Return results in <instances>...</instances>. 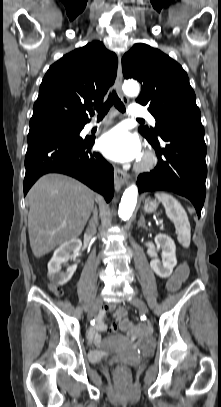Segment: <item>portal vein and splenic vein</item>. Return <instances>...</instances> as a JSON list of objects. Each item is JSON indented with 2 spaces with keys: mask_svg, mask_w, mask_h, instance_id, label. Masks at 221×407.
<instances>
[{
  "mask_svg": "<svg viewBox=\"0 0 221 407\" xmlns=\"http://www.w3.org/2000/svg\"><path fill=\"white\" fill-rule=\"evenodd\" d=\"M65 225V224H64ZM160 228L162 229L163 228V224L162 223H160Z\"/></svg>",
  "mask_w": 221,
  "mask_h": 407,
  "instance_id": "18ae733b",
  "label": "portal vein and splenic vein"
}]
</instances>
